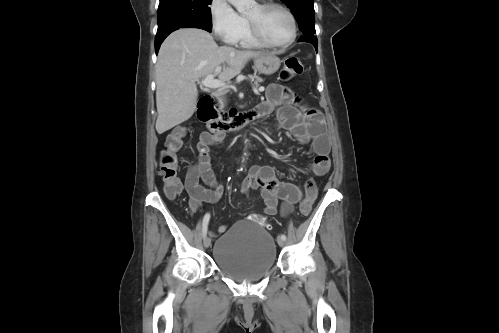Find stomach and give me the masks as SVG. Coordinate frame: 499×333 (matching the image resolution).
I'll list each match as a JSON object with an SVG mask.
<instances>
[{
	"mask_svg": "<svg viewBox=\"0 0 499 333\" xmlns=\"http://www.w3.org/2000/svg\"><path fill=\"white\" fill-rule=\"evenodd\" d=\"M280 65V59L272 53H264L254 58V68L260 74L271 75L278 71Z\"/></svg>",
	"mask_w": 499,
	"mask_h": 333,
	"instance_id": "obj_1",
	"label": "stomach"
}]
</instances>
